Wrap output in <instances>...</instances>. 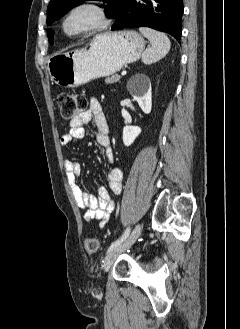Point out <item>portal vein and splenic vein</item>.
<instances>
[{"mask_svg": "<svg viewBox=\"0 0 240 329\" xmlns=\"http://www.w3.org/2000/svg\"><path fill=\"white\" fill-rule=\"evenodd\" d=\"M127 74V71L126 70H123L122 72H121V76H125Z\"/></svg>", "mask_w": 240, "mask_h": 329, "instance_id": "portal-vein-and-splenic-vein-1", "label": "portal vein and splenic vein"}]
</instances>
